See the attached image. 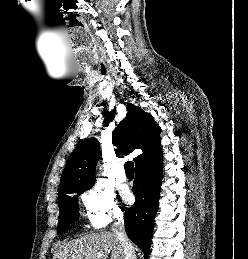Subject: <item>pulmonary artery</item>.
<instances>
[{
	"label": "pulmonary artery",
	"instance_id": "e3ab8cb5",
	"mask_svg": "<svg viewBox=\"0 0 248 259\" xmlns=\"http://www.w3.org/2000/svg\"><path fill=\"white\" fill-rule=\"evenodd\" d=\"M116 180L120 183H123L127 180V177H126V174L124 171V167L122 165H120L118 167L117 174H116Z\"/></svg>",
	"mask_w": 248,
	"mask_h": 259
}]
</instances>
